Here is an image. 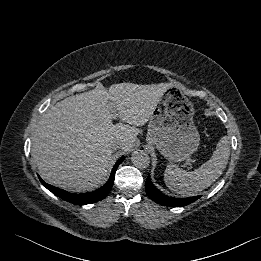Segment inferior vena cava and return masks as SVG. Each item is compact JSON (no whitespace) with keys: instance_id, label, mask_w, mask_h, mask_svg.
Here are the masks:
<instances>
[{"instance_id":"inferior-vena-cava-1","label":"inferior vena cava","mask_w":261,"mask_h":261,"mask_svg":"<svg viewBox=\"0 0 261 261\" xmlns=\"http://www.w3.org/2000/svg\"><path fill=\"white\" fill-rule=\"evenodd\" d=\"M121 146V142L117 141L115 143L112 144V149L116 150L117 148H119Z\"/></svg>"}]
</instances>
